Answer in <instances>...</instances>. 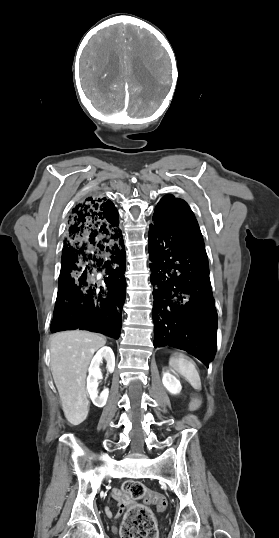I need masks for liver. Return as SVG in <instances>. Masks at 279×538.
Returning <instances> with one entry per match:
<instances>
[{"label":"liver","instance_id":"6515ba94","mask_svg":"<svg viewBox=\"0 0 279 538\" xmlns=\"http://www.w3.org/2000/svg\"><path fill=\"white\" fill-rule=\"evenodd\" d=\"M106 344L105 336L93 332H58L50 342L51 372L66 420L79 426L88 416L85 388L90 360Z\"/></svg>","mask_w":279,"mask_h":538}]
</instances>
